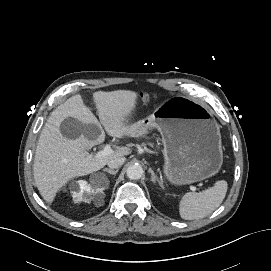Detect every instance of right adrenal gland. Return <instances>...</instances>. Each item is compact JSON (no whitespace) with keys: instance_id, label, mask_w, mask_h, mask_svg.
<instances>
[{"instance_id":"1","label":"right adrenal gland","mask_w":271,"mask_h":271,"mask_svg":"<svg viewBox=\"0 0 271 271\" xmlns=\"http://www.w3.org/2000/svg\"><path fill=\"white\" fill-rule=\"evenodd\" d=\"M103 171H106L109 174L115 175V174H117L118 169L117 170H111V169L105 168V169H103Z\"/></svg>"}]
</instances>
